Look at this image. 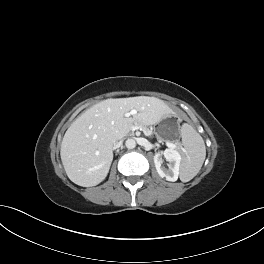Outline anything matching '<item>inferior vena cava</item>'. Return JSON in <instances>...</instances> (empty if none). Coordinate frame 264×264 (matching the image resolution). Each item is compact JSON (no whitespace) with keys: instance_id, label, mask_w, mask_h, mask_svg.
I'll list each match as a JSON object with an SVG mask.
<instances>
[{"instance_id":"obj_1","label":"inferior vena cava","mask_w":264,"mask_h":264,"mask_svg":"<svg viewBox=\"0 0 264 264\" xmlns=\"http://www.w3.org/2000/svg\"><path fill=\"white\" fill-rule=\"evenodd\" d=\"M121 145H122V141H121V139H118V140H116V141L114 142V144H113V149H117V148H119Z\"/></svg>"}]
</instances>
